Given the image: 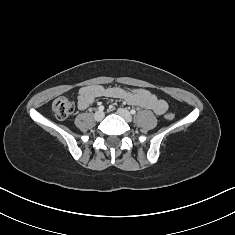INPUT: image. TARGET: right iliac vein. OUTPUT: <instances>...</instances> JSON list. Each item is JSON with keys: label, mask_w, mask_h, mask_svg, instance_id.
Segmentation results:
<instances>
[{"label": "right iliac vein", "mask_w": 235, "mask_h": 235, "mask_svg": "<svg viewBox=\"0 0 235 235\" xmlns=\"http://www.w3.org/2000/svg\"><path fill=\"white\" fill-rule=\"evenodd\" d=\"M103 118H104V112H102V111H97V112L94 114V119H95L96 121H101Z\"/></svg>", "instance_id": "63e3f726"}]
</instances>
